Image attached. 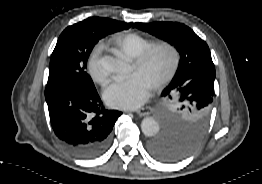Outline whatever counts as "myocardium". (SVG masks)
<instances>
[{
	"label": "myocardium",
	"mask_w": 262,
	"mask_h": 184,
	"mask_svg": "<svg viewBox=\"0 0 262 184\" xmlns=\"http://www.w3.org/2000/svg\"><path fill=\"white\" fill-rule=\"evenodd\" d=\"M158 49H167L171 52L172 64L167 73L152 85L154 89L162 88L173 80L180 68L182 58L181 51L176 44L170 41H159L146 48L138 57H136L135 65L138 68L143 67L151 55Z\"/></svg>",
	"instance_id": "obj_1"
}]
</instances>
